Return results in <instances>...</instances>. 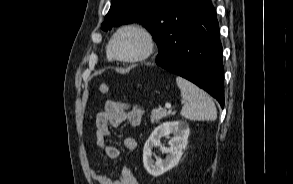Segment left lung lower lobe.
Listing matches in <instances>:
<instances>
[{"label": "left lung lower lobe", "mask_w": 293, "mask_h": 184, "mask_svg": "<svg viewBox=\"0 0 293 184\" xmlns=\"http://www.w3.org/2000/svg\"><path fill=\"white\" fill-rule=\"evenodd\" d=\"M156 64L204 89L223 108L222 45L211 0H181L176 5Z\"/></svg>", "instance_id": "left-lung-lower-lobe-1"}]
</instances>
